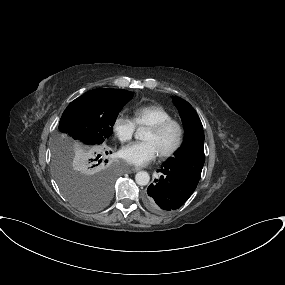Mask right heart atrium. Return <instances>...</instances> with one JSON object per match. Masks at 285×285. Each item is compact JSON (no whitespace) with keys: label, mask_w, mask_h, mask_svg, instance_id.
<instances>
[{"label":"right heart atrium","mask_w":285,"mask_h":285,"mask_svg":"<svg viewBox=\"0 0 285 285\" xmlns=\"http://www.w3.org/2000/svg\"><path fill=\"white\" fill-rule=\"evenodd\" d=\"M113 130L122 142H127L133 138L136 123L132 117L119 114L113 121Z\"/></svg>","instance_id":"d8ad5b80"}]
</instances>
